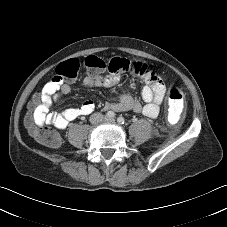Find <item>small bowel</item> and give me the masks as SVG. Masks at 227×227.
I'll return each mask as SVG.
<instances>
[{"label":"small bowel","mask_w":227,"mask_h":227,"mask_svg":"<svg viewBox=\"0 0 227 227\" xmlns=\"http://www.w3.org/2000/svg\"><path fill=\"white\" fill-rule=\"evenodd\" d=\"M111 73L107 76L91 75L84 78L83 83L87 87H113L120 80L119 70H130L131 61L126 59H113ZM146 85L141 90V99L145 103L141 105L132 97L125 95L120 101L110 103L107 109L116 111L142 112L149 118H156L159 114L160 105L165 98V85L158 74L152 70L148 75L143 76ZM71 91L70 85L62 84L59 91L53 93L43 92L42 104L31 105L32 117L27 118V123L31 127L33 124L42 126L53 125L64 129L70 121L79 116L88 115L95 109V102L85 101L80 107L68 108L61 112H49L51 106L59 101L64 95Z\"/></svg>","instance_id":"c3829d8e"}]
</instances>
